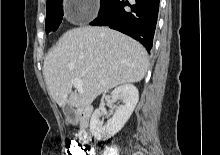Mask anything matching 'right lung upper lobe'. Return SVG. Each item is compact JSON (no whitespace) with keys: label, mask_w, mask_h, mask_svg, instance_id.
Here are the masks:
<instances>
[{"label":"right lung upper lobe","mask_w":220,"mask_h":155,"mask_svg":"<svg viewBox=\"0 0 220 155\" xmlns=\"http://www.w3.org/2000/svg\"><path fill=\"white\" fill-rule=\"evenodd\" d=\"M52 1H54V0H47V3H50V2H52Z\"/></svg>","instance_id":"right-lung-upper-lobe-1"}]
</instances>
